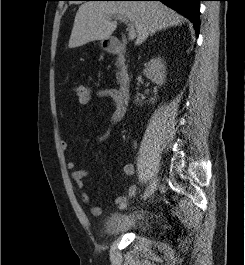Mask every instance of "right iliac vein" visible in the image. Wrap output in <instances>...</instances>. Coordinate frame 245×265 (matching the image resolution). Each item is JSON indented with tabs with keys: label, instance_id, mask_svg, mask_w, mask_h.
Masks as SVG:
<instances>
[{
	"label": "right iliac vein",
	"instance_id": "obj_1",
	"mask_svg": "<svg viewBox=\"0 0 245 265\" xmlns=\"http://www.w3.org/2000/svg\"><path fill=\"white\" fill-rule=\"evenodd\" d=\"M158 180L155 178L152 182H151V185L149 187V190H148V196L147 197H150L156 190L157 188V182Z\"/></svg>",
	"mask_w": 245,
	"mask_h": 265
}]
</instances>
